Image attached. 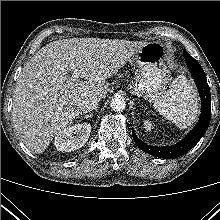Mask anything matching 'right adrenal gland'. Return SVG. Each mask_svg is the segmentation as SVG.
<instances>
[{
  "mask_svg": "<svg viewBox=\"0 0 220 220\" xmlns=\"http://www.w3.org/2000/svg\"><path fill=\"white\" fill-rule=\"evenodd\" d=\"M92 116H93V113L85 114L84 116H82L81 114V117H83L84 119H88L89 117H92Z\"/></svg>",
  "mask_w": 220,
  "mask_h": 220,
  "instance_id": "obj_1",
  "label": "right adrenal gland"
}]
</instances>
